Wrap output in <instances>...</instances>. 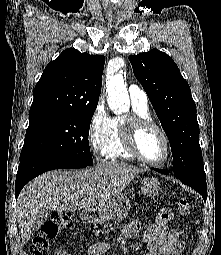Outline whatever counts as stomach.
Instances as JSON below:
<instances>
[{"mask_svg": "<svg viewBox=\"0 0 221 255\" xmlns=\"http://www.w3.org/2000/svg\"><path fill=\"white\" fill-rule=\"evenodd\" d=\"M141 191L146 196H156L160 191V184L155 178H146L141 181ZM129 210V199L125 195L120 194L109 201L104 208L97 210V213L91 215L89 218L95 221H102L104 219L121 221L126 218Z\"/></svg>", "mask_w": 221, "mask_h": 255, "instance_id": "1", "label": "stomach"}]
</instances>
